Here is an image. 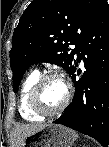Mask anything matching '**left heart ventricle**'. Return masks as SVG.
<instances>
[{"label":"left heart ventricle","mask_w":109,"mask_h":147,"mask_svg":"<svg viewBox=\"0 0 109 147\" xmlns=\"http://www.w3.org/2000/svg\"><path fill=\"white\" fill-rule=\"evenodd\" d=\"M66 95L65 84L59 79L46 81L41 89L39 101L46 110H54L62 104Z\"/></svg>","instance_id":"b2bd125f"}]
</instances>
